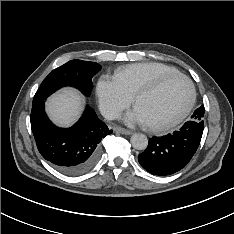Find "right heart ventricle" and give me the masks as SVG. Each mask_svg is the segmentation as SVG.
<instances>
[{
  "label": "right heart ventricle",
  "mask_w": 234,
  "mask_h": 234,
  "mask_svg": "<svg viewBox=\"0 0 234 234\" xmlns=\"http://www.w3.org/2000/svg\"><path fill=\"white\" fill-rule=\"evenodd\" d=\"M178 72L172 66L147 62L120 67L116 70L115 76L119 79L127 93L133 97L140 88L150 84L161 76Z\"/></svg>",
  "instance_id": "1"
}]
</instances>
